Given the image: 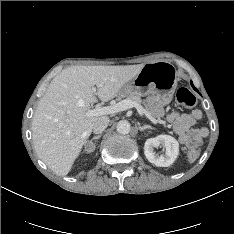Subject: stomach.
<instances>
[{
	"label": "stomach",
	"instance_id": "stomach-1",
	"mask_svg": "<svg viewBox=\"0 0 234 234\" xmlns=\"http://www.w3.org/2000/svg\"><path fill=\"white\" fill-rule=\"evenodd\" d=\"M175 69L167 63L156 62L144 64L141 71L127 82L118 93L119 96L152 95L161 105L171 102L177 87Z\"/></svg>",
	"mask_w": 234,
	"mask_h": 234
}]
</instances>
